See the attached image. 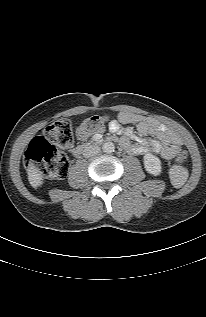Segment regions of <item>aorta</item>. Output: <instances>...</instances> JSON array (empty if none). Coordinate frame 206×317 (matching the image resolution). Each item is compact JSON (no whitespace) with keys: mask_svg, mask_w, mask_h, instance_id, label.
<instances>
[{"mask_svg":"<svg viewBox=\"0 0 206 317\" xmlns=\"http://www.w3.org/2000/svg\"><path fill=\"white\" fill-rule=\"evenodd\" d=\"M103 152L110 154L114 152L115 150V145L112 142H106L102 146Z\"/></svg>","mask_w":206,"mask_h":317,"instance_id":"762f6f07","label":"aorta"}]
</instances>
